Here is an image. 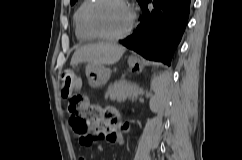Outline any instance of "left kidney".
<instances>
[{
  "label": "left kidney",
  "instance_id": "1",
  "mask_svg": "<svg viewBox=\"0 0 242 160\" xmlns=\"http://www.w3.org/2000/svg\"><path fill=\"white\" fill-rule=\"evenodd\" d=\"M150 108L153 112L158 111V106L154 103V98H152L151 101H150Z\"/></svg>",
  "mask_w": 242,
  "mask_h": 160
}]
</instances>
